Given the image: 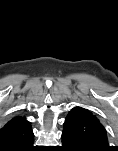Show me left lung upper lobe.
<instances>
[{"label":"left lung upper lobe","mask_w":118,"mask_h":151,"mask_svg":"<svg viewBox=\"0 0 118 151\" xmlns=\"http://www.w3.org/2000/svg\"><path fill=\"white\" fill-rule=\"evenodd\" d=\"M63 130L79 137L90 151L112 150L104 126L85 108H72L65 119Z\"/></svg>","instance_id":"5c2ea615"}]
</instances>
